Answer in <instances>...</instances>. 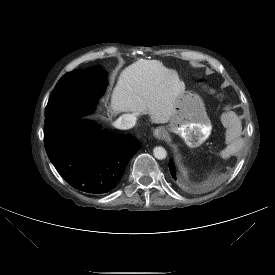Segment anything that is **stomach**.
<instances>
[{"instance_id":"stomach-1","label":"stomach","mask_w":275,"mask_h":275,"mask_svg":"<svg viewBox=\"0 0 275 275\" xmlns=\"http://www.w3.org/2000/svg\"><path fill=\"white\" fill-rule=\"evenodd\" d=\"M211 127L201 97L182 91L175 99L168 130L179 134L188 146L196 147L209 136Z\"/></svg>"}]
</instances>
